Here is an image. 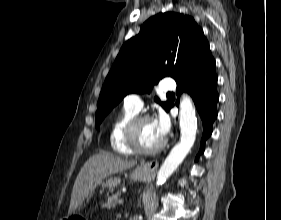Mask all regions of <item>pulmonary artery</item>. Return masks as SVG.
<instances>
[{
    "instance_id": "e3ab8cb5",
    "label": "pulmonary artery",
    "mask_w": 281,
    "mask_h": 220,
    "mask_svg": "<svg viewBox=\"0 0 281 220\" xmlns=\"http://www.w3.org/2000/svg\"><path fill=\"white\" fill-rule=\"evenodd\" d=\"M175 88H176V84L172 79H163L160 82V89L162 91H173L175 90ZM124 103L126 106L138 112L141 110L143 106L142 99L138 94L127 95L124 99Z\"/></svg>"
}]
</instances>
